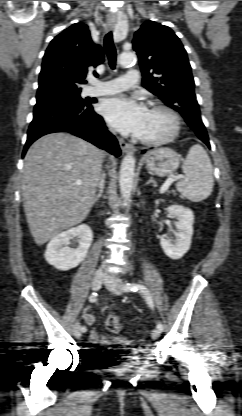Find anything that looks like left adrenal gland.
Masks as SVG:
<instances>
[{
	"label": "left adrenal gland",
	"mask_w": 242,
	"mask_h": 416,
	"mask_svg": "<svg viewBox=\"0 0 242 416\" xmlns=\"http://www.w3.org/2000/svg\"><path fill=\"white\" fill-rule=\"evenodd\" d=\"M150 183H152V185H153V187H156V181L153 179V177H150V179L146 182V185L147 184H150Z\"/></svg>",
	"instance_id": "obj_1"
}]
</instances>
